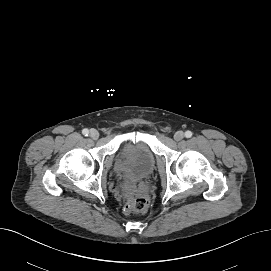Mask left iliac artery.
<instances>
[{"label": "left iliac artery", "mask_w": 271, "mask_h": 271, "mask_svg": "<svg viewBox=\"0 0 271 271\" xmlns=\"http://www.w3.org/2000/svg\"><path fill=\"white\" fill-rule=\"evenodd\" d=\"M185 136L187 137V138H190L191 136H192V132L191 131H186L185 132Z\"/></svg>", "instance_id": "1"}]
</instances>
